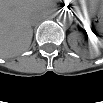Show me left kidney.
<instances>
[{
  "label": "left kidney",
  "instance_id": "5707ae66",
  "mask_svg": "<svg viewBox=\"0 0 103 103\" xmlns=\"http://www.w3.org/2000/svg\"><path fill=\"white\" fill-rule=\"evenodd\" d=\"M76 39H78V36L76 33H71L69 35V43L70 45L74 48L75 51H78V52H84V50L82 49H79L78 47H76ZM92 43V47H91V53H97L98 52V49H97V46H96V42L93 40L91 41Z\"/></svg>",
  "mask_w": 103,
  "mask_h": 103
}]
</instances>
